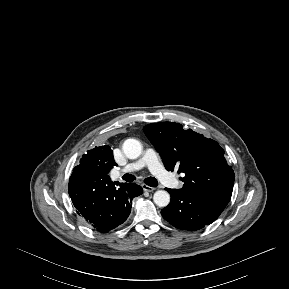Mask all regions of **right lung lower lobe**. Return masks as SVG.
Here are the masks:
<instances>
[{"mask_svg":"<svg viewBox=\"0 0 289 289\" xmlns=\"http://www.w3.org/2000/svg\"><path fill=\"white\" fill-rule=\"evenodd\" d=\"M68 191L77 213L88 226L101 233L122 224L131 212L133 198L143 193L137 184L126 183L116 188L104 179L75 169Z\"/></svg>","mask_w":289,"mask_h":289,"instance_id":"98d812e1","label":"right lung lower lobe"}]
</instances>
